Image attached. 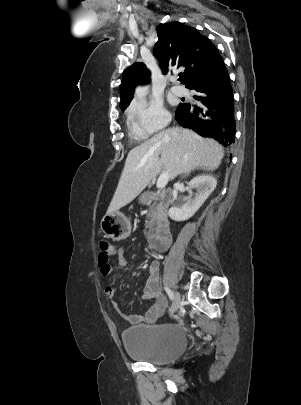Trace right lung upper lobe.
Masks as SVG:
<instances>
[{
    "mask_svg": "<svg viewBox=\"0 0 301 405\" xmlns=\"http://www.w3.org/2000/svg\"><path fill=\"white\" fill-rule=\"evenodd\" d=\"M158 41L153 54L161 63L164 74L173 68H183V84L188 88L195 82L212 76L223 59L211 41L195 28L173 21L157 31ZM144 63L136 62L123 72L120 108L125 110L133 98L135 86L149 80Z\"/></svg>",
    "mask_w": 301,
    "mask_h": 405,
    "instance_id": "1",
    "label": "right lung upper lobe"
}]
</instances>
